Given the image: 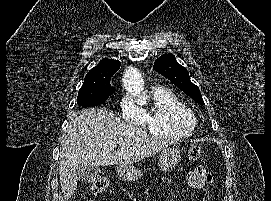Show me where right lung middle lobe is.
Here are the masks:
<instances>
[{
    "label": "right lung middle lobe",
    "mask_w": 271,
    "mask_h": 201,
    "mask_svg": "<svg viewBox=\"0 0 271 201\" xmlns=\"http://www.w3.org/2000/svg\"><path fill=\"white\" fill-rule=\"evenodd\" d=\"M113 75L85 78L78 92L77 104L80 106H97L105 102L114 92L110 85Z\"/></svg>",
    "instance_id": "right-lung-middle-lobe-1"
}]
</instances>
